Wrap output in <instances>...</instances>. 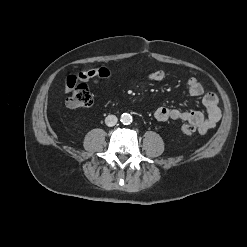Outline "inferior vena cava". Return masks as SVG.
<instances>
[{
  "label": "inferior vena cava",
  "mask_w": 247,
  "mask_h": 247,
  "mask_svg": "<svg viewBox=\"0 0 247 247\" xmlns=\"http://www.w3.org/2000/svg\"><path fill=\"white\" fill-rule=\"evenodd\" d=\"M118 119L115 115H108L105 118V123L107 126L112 127L117 123Z\"/></svg>",
  "instance_id": "602c4592"
}]
</instances>
